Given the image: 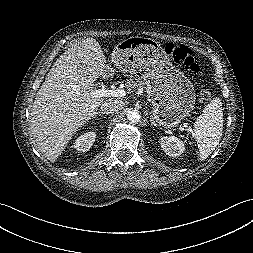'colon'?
Returning <instances> with one entry per match:
<instances>
[{
    "label": "colon",
    "mask_w": 253,
    "mask_h": 253,
    "mask_svg": "<svg viewBox=\"0 0 253 253\" xmlns=\"http://www.w3.org/2000/svg\"><path fill=\"white\" fill-rule=\"evenodd\" d=\"M165 52L176 64L188 68L192 73L199 74L201 72V63L196 59L193 50L188 46L168 43L165 47ZM201 98L209 100L210 93L207 90H203Z\"/></svg>",
    "instance_id": "colon-1"
}]
</instances>
